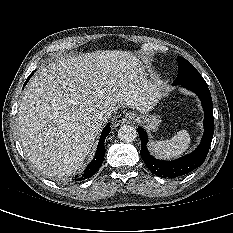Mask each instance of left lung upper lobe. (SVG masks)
Segmentation results:
<instances>
[{"label": "left lung upper lobe", "instance_id": "1", "mask_svg": "<svg viewBox=\"0 0 233 233\" xmlns=\"http://www.w3.org/2000/svg\"><path fill=\"white\" fill-rule=\"evenodd\" d=\"M186 83H206L196 68L185 58L178 56V75L173 85Z\"/></svg>", "mask_w": 233, "mask_h": 233}]
</instances>
